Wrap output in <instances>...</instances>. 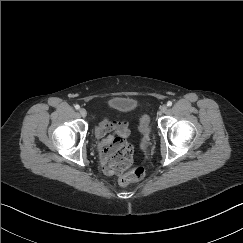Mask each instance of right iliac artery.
Masks as SVG:
<instances>
[{
    "label": "right iliac artery",
    "mask_w": 243,
    "mask_h": 243,
    "mask_svg": "<svg viewBox=\"0 0 243 243\" xmlns=\"http://www.w3.org/2000/svg\"><path fill=\"white\" fill-rule=\"evenodd\" d=\"M75 109L79 110L80 109V106L78 104H76L75 106Z\"/></svg>",
    "instance_id": "obj_1"
}]
</instances>
